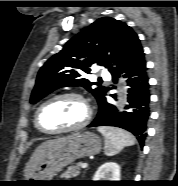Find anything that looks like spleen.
<instances>
[{
    "instance_id": "1",
    "label": "spleen",
    "mask_w": 178,
    "mask_h": 186,
    "mask_svg": "<svg viewBox=\"0 0 178 186\" xmlns=\"http://www.w3.org/2000/svg\"><path fill=\"white\" fill-rule=\"evenodd\" d=\"M98 131L105 138L104 153L106 156H114L124 147L135 144L134 136L123 129L115 127H98Z\"/></svg>"
}]
</instances>
